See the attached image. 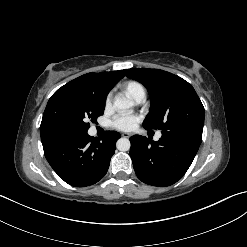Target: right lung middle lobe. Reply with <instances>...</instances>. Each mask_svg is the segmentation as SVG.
I'll list each match as a JSON object with an SVG mask.
<instances>
[{
    "label": "right lung middle lobe",
    "mask_w": 247,
    "mask_h": 247,
    "mask_svg": "<svg viewBox=\"0 0 247 247\" xmlns=\"http://www.w3.org/2000/svg\"><path fill=\"white\" fill-rule=\"evenodd\" d=\"M104 107L105 98L89 89H69L46 107L41 124L44 132L56 140L82 137L87 134L89 122H96L103 114Z\"/></svg>",
    "instance_id": "1"
}]
</instances>
